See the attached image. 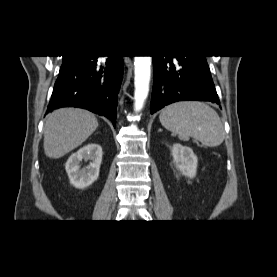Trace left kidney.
I'll return each mask as SVG.
<instances>
[{"label":"left kidney","instance_id":"left-kidney-1","mask_svg":"<svg viewBox=\"0 0 277 277\" xmlns=\"http://www.w3.org/2000/svg\"><path fill=\"white\" fill-rule=\"evenodd\" d=\"M173 162L182 175L193 178L196 175L198 158L193 150L179 143L172 147Z\"/></svg>","mask_w":277,"mask_h":277}]
</instances>
